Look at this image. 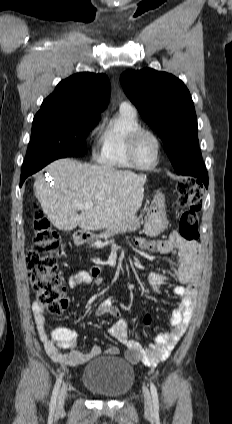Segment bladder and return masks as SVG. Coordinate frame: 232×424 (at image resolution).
<instances>
[{
    "label": "bladder",
    "mask_w": 232,
    "mask_h": 424,
    "mask_svg": "<svg viewBox=\"0 0 232 424\" xmlns=\"http://www.w3.org/2000/svg\"><path fill=\"white\" fill-rule=\"evenodd\" d=\"M134 379V368L127 361L101 356L85 365L82 385L99 397L115 399L131 389Z\"/></svg>",
    "instance_id": "obj_1"
}]
</instances>
